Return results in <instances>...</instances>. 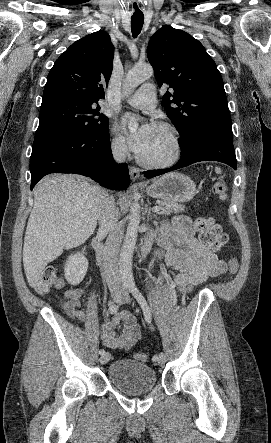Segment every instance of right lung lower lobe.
<instances>
[{"instance_id": "obj_1", "label": "right lung lower lobe", "mask_w": 271, "mask_h": 443, "mask_svg": "<svg viewBox=\"0 0 271 443\" xmlns=\"http://www.w3.org/2000/svg\"><path fill=\"white\" fill-rule=\"evenodd\" d=\"M31 190L50 173L89 176L104 187L125 190L130 183L127 164L112 158L108 128L94 135L51 130L35 137L30 158Z\"/></svg>"}]
</instances>
